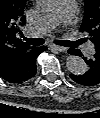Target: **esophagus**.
Returning a JSON list of instances; mask_svg holds the SVG:
<instances>
[{
    "label": "esophagus",
    "instance_id": "obj_1",
    "mask_svg": "<svg viewBox=\"0 0 100 118\" xmlns=\"http://www.w3.org/2000/svg\"><path fill=\"white\" fill-rule=\"evenodd\" d=\"M50 47L54 50H57L59 52H64L66 50L65 47L59 46V45H50Z\"/></svg>",
    "mask_w": 100,
    "mask_h": 118
}]
</instances>
